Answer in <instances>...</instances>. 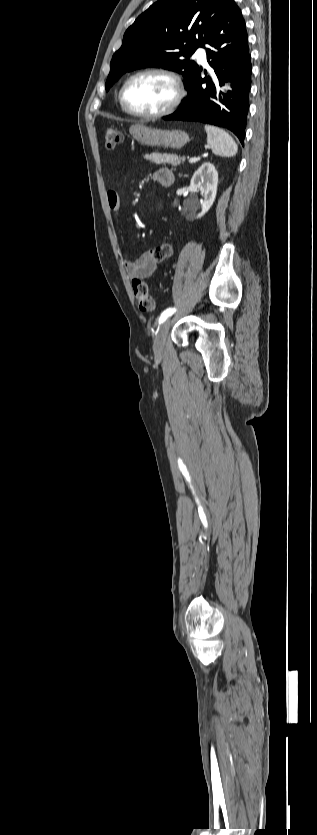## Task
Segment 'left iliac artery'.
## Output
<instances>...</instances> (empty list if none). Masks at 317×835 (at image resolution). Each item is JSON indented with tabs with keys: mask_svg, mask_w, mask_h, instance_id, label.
<instances>
[{
	"mask_svg": "<svg viewBox=\"0 0 317 835\" xmlns=\"http://www.w3.org/2000/svg\"><path fill=\"white\" fill-rule=\"evenodd\" d=\"M176 311L175 308H167L164 310L159 318V323H163L168 317H170Z\"/></svg>",
	"mask_w": 317,
	"mask_h": 835,
	"instance_id": "1",
	"label": "left iliac artery"
}]
</instances>
